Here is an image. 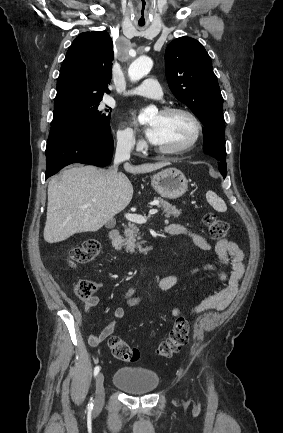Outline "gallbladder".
<instances>
[{
  "label": "gallbladder",
  "instance_id": "gallbladder-1",
  "mask_svg": "<svg viewBox=\"0 0 283 433\" xmlns=\"http://www.w3.org/2000/svg\"><path fill=\"white\" fill-rule=\"evenodd\" d=\"M116 223L115 221H109V223H107L106 227L107 229H113V227H115Z\"/></svg>",
  "mask_w": 283,
  "mask_h": 433
}]
</instances>
